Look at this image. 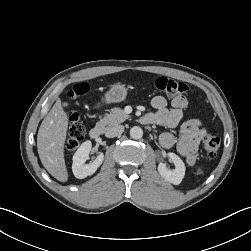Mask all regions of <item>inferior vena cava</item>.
<instances>
[{"mask_svg":"<svg viewBox=\"0 0 251 251\" xmlns=\"http://www.w3.org/2000/svg\"><path fill=\"white\" fill-rule=\"evenodd\" d=\"M123 131H124V126L116 125V126L109 128L106 131L105 136L108 138L116 137V136L121 135L123 133Z\"/></svg>","mask_w":251,"mask_h":251,"instance_id":"602c4592","label":"inferior vena cava"}]
</instances>
